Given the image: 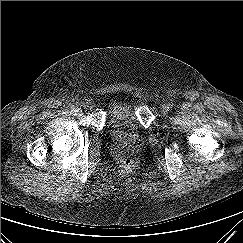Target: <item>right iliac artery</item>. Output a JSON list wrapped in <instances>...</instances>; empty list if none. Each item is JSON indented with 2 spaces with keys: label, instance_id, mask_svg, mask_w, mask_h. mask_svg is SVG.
<instances>
[{
  "label": "right iliac artery",
  "instance_id": "right-iliac-artery-1",
  "mask_svg": "<svg viewBox=\"0 0 243 243\" xmlns=\"http://www.w3.org/2000/svg\"><path fill=\"white\" fill-rule=\"evenodd\" d=\"M76 112H77V109H75V108H71V109H70V113H72V114H76Z\"/></svg>",
  "mask_w": 243,
  "mask_h": 243
}]
</instances>
